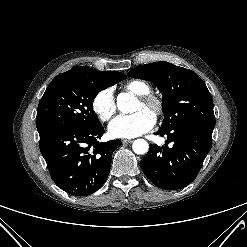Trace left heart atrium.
Instances as JSON below:
<instances>
[{
	"mask_svg": "<svg viewBox=\"0 0 247 247\" xmlns=\"http://www.w3.org/2000/svg\"><path fill=\"white\" fill-rule=\"evenodd\" d=\"M155 117L141 109L130 115L116 117L109 125V134L114 138H133L151 130Z\"/></svg>",
	"mask_w": 247,
	"mask_h": 247,
	"instance_id": "39dd6f15",
	"label": "left heart atrium"
}]
</instances>
